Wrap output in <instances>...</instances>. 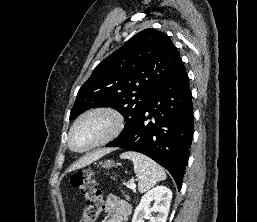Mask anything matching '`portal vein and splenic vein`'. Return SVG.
<instances>
[{"instance_id":"obj_1","label":"portal vein and splenic vein","mask_w":257,"mask_h":222,"mask_svg":"<svg viewBox=\"0 0 257 222\" xmlns=\"http://www.w3.org/2000/svg\"><path fill=\"white\" fill-rule=\"evenodd\" d=\"M130 189L134 190L136 188V185L135 183H130L129 186H128Z\"/></svg>"}]
</instances>
